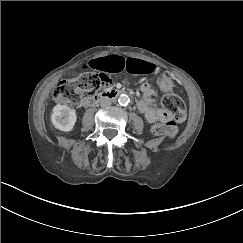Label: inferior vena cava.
<instances>
[{
    "instance_id": "602c4592",
    "label": "inferior vena cava",
    "mask_w": 243,
    "mask_h": 243,
    "mask_svg": "<svg viewBox=\"0 0 243 243\" xmlns=\"http://www.w3.org/2000/svg\"><path fill=\"white\" fill-rule=\"evenodd\" d=\"M112 102L109 98H103L101 101H100V106L102 108H107L109 106H111Z\"/></svg>"
}]
</instances>
